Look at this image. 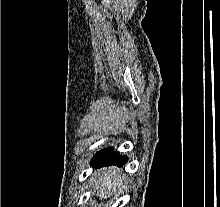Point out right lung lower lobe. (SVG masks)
I'll list each match as a JSON object with an SVG mask.
<instances>
[{
  "instance_id": "98d812e1",
  "label": "right lung lower lobe",
  "mask_w": 220,
  "mask_h": 207,
  "mask_svg": "<svg viewBox=\"0 0 220 207\" xmlns=\"http://www.w3.org/2000/svg\"><path fill=\"white\" fill-rule=\"evenodd\" d=\"M127 161L126 156L117 155L112 147L105 148L95 154L91 163L95 166L118 165L121 166Z\"/></svg>"
}]
</instances>
